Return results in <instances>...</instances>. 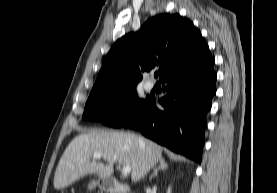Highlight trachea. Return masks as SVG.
Returning <instances> with one entry per match:
<instances>
[{
    "mask_svg": "<svg viewBox=\"0 0 277 193\" xmlns=\"http://www.w3.org/2000/svg\"><path fill=\"white\" fill-rule=\"evenodd\" d=\"M155 77H158V73H155Z\"/></svg>",
    "mask_w": 277,
    "mask_h": 193,
    "instance_id": "3493384b",
    "label": "trachea"
}]
</instances>
